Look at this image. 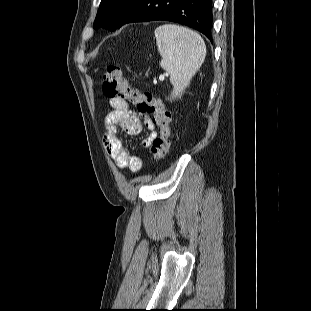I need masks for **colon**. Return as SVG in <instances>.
Returning <instances> with one entry per match:
<instances>
[{"label": "colon", "mask_w": 311, "mask_h": 311, "mask_svg": "<svg viewBox=\"0 0 311 311\" xmlns=\"http://www.w3.org/2000/svg\"><path fill=\"white\" fill-rule=\"evenodd\" d=\"M103 93L109 99H118L134 104L140 113L152 114L153 121L159 127V134L150 145V153L154 161L163 159L170 146L171 114L162 102L150 92H140L130 87L117 64H109L106 67L103 75Z\"/></svg>", "instance_id": "colon-1"}]
</instances>
